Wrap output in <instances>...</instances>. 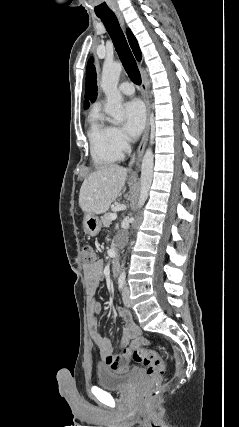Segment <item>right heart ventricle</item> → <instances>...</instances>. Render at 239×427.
I'll list each match as a JSON object with an SVG mask.
<instances>
[{"instance_id":"e07e8e85","label":"right heart ventricle","mask_w":239,"mask_h":427,"mask_svg":"<svg viewBox=\"0 0 239 427\" xmlns=\"http://www.w3.org/2000/svg\"><path fill=\"white\" fill-rule=\"evenodd\" d=\"M111 127L98 111L89 117L88 138L90 153L96 166H107L120 160L122 154L112 142Z\"/></svg>"}]
</instances>
